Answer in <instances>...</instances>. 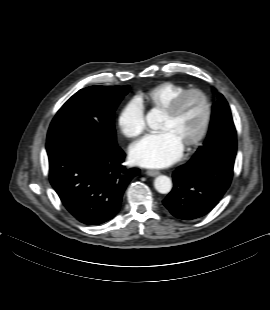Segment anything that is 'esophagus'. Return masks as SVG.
<instances>
[{
	"mask_svg": "<svg viewBox=\"0 0 270 310\" xmlns=\"http://www.w3.org/2000/svg\"><path fill=\"white\" fill-rule=\"evenodd\" d=\"M146 174H147L148 176L155 177V176H158V175L160 174V172L157 171V170H147V171H146Z\"/></svg>",
	"mask_w": 270,
	"mask_h": 310,
	"instance_id": "34e87169",
	"label": "esophagus"
}]
</instances>
